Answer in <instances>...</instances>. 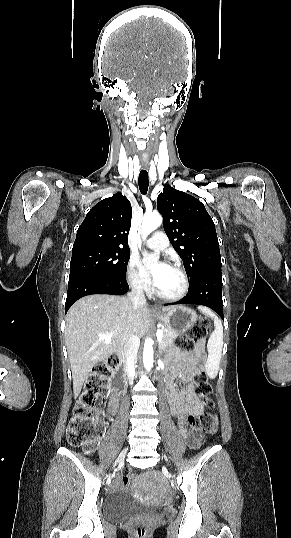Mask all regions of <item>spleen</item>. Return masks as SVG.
<instances>
[{
  "label": "spleen",
  "mask_w": 291,
  "mask_h": 538,
  "mask_svg": "<svg viewBox=\"0 0 291 538\" xmlns=\"http://www.w3.org/2000/svg\"><path fill=\"white\" fill-rule=\"evenodd\" d=\"M198 309L205 315L210 316L214 320V331L211 333L208 343V358L206 362V373L211 378H216L220 366V359L223 347V327L221 321L207 307L199 306Z\"/></svg>",
  "instance_id": "obj_1"
}]
</instances>
